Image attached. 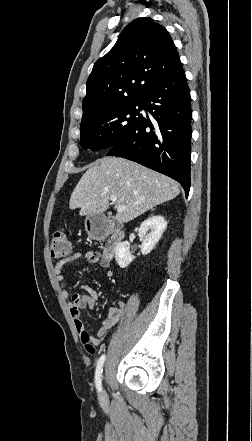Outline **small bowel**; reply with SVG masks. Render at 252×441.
<instances>
[{
  "instance_id": "c3829d8e",
  "label": "small bowel",
  "mask_w": 252,
  "mask_h": 441,
  "mask_svg": "<svg viewBox=\"0 0 252 441\" xmlns=\"http://www.w3.org/2000/svg\"><path fill=\"white\" fill-rule=\"evenodd\" d=\"M87 261L90 264H99L102 267H108L110 261L107 260L100 253L93 250H85L83 253L72 252L68 256L61 259L55 266L54 273L56 281L62 288V296L64 298L69 297V292L66 289L64 277L62 276V269L67 264H72L77 261ZM99 299L98 292L88 285H80L76 291L70 296L69 310L71 317L73 318L75 327L79 333L85 330V326L81 320L82 310H93ZM125 310V304L122 301L117 302V306L109 309L108 314L102 326L95 336H91V342L93 344L100 343L110 329H112L117 322L122 318Z\"/></svg>"
}]
</instances>
